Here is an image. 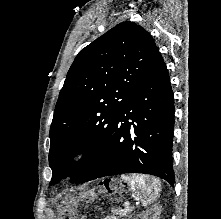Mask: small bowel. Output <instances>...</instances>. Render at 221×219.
<instances>
[{"label": "small bowel", "instance_id": "1", "mask_svg": "<svg viewBox=\"0 0 221 219\" xmlns=\"http://www.w3.org/2000/svg\"><path fill=\"white\" fill-rule=\"evenodd\" d=\"M105 219H113V218H105Z\"/></svg>", "mask_w": 221, "mask_h": 219}]
</instances>
